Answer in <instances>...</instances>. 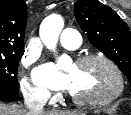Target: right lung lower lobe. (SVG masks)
<instances>
[{"mask_svg": "<svg viewBox=\"0 0 131 115\" xmlns=\"http://www.w3.org/2000/svg\"><path fill=\"white\" fill-rule=\"evenodd\" d=\"M0 100H7V99H5V98H3V97H0Z\"/></svg>", "mask_w": 131, "mask_h": 115, "instance_id": "1", "label": "right lung lower lobe"}]
</instances>
